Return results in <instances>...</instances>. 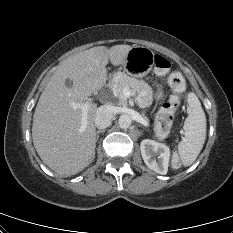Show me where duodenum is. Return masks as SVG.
Returning <instances> with one entry per match:
<instances>
[{
  "mask_svg": "<svg viewBox=\"0 0 233 233\" xmlns=\"http://www.w3.org/2000/svg\"><path fill=\"white\" fill-rule=\"evenodd\" d=\"M109 83H110V80H109V79H106V80H105V85L107 86V85H109Z\"/></svg>",
  "mask_w": 233,
  "mask_h": 233,
  "instance_id": "410a0bca",
  "label": "duodenum"
}]
</instances>
